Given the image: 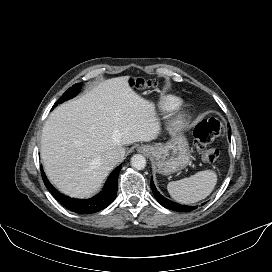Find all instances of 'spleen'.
Wrapping results in <instances>:
<instances>
[{
    "instance_id": "1",
    "label": "spleen",
    "mask_w": 272,
    "mask_h": 272,
    "mask_svg": "<svg viewBox=\"0 0 272 272\" xmlns=\"http://www.w3.org/2000/svg\"><path fill=\"white\" fill-rule=\"evenodd\" d=\"M217 175L212 170H204L178 181L169 182L167 190L179 203L192 204L205 199L214 189Z\"/></svg>"
}]
</instances>
